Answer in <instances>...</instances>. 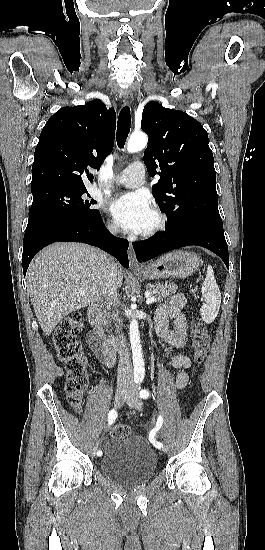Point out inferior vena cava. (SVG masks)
<instances>
[{"instance_id": "602c4592", "label": "inferior vena cava", "mask_w": 265, "mask_h": 550, "mask_svg": "<svg viewBox=\"0 0 265 550\" xmlns=\"http://www.w3.org/2000/svg\"><path fill=\"white\" fill-rule=\"evenodd\" d=\"M109 230L113 234H117L118 230L115 226H109ZM118 285H117V271L115 262L112 258H108L107 262V271H106V282L104 285L103 296L105 298V303L107 309L110 310L111 316L113 319L118 318ZM119 325H117L118 333V355L119 363L117 368V381L118 383L130 384L133 379L132 364L130 359L129 350L127 348L126 339L122 333L119 331ZM121 330V329H120Z\"/></svg>"}]
</instances>
